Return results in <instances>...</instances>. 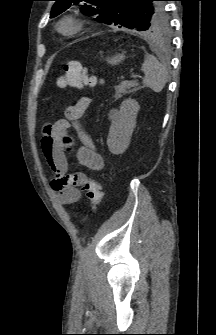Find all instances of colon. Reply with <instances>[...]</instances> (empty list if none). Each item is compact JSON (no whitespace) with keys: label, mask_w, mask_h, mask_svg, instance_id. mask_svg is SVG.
Listing matches in <instances>:
<instances>
[{"label":"colon","mask_w":216,"mask_h":335,"mask_svg":"<svg viewBox=\"0 0 216 335\" xmlns=\"http://www.w3.org/2000/svg\"><path fill=\"white\" fill-rule=\"evenodd\" d=\"M57 83L61 88H80L85 85H95L97 79L80 62L69 61L63 66L62 74L58 78ZM63 142L68 144L71 142V138L65 137ZM81 189L85 192L87 199L92 205V211L95 213L104 199L100 182L94 179H87L81 184Z\"/></svg>","instance_id":"1"}]
</instances>
